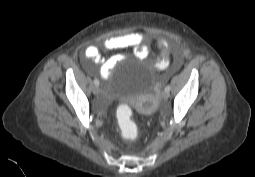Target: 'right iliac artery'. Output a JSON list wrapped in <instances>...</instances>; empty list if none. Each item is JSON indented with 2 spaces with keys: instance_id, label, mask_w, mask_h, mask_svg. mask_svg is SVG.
I'll use <instances>...</instances> for the list:
<instances>
[{
  "instance_id": "right-iliac-artery-1",
  "label": "right iliac artery",
  "mask_w": 255,
  "mask_h": 177,
  "mask_svg": "<svg viewBox=\"0 0 255 177\" xmlns=\"http://www.w3.org/2000/svg\"><path fill=\"white\" fill-rule=\"evenodd\" d=\"M94 84H95L96 86H99V80H98V79H94Z\"/></svg>"
}]
</instances>
